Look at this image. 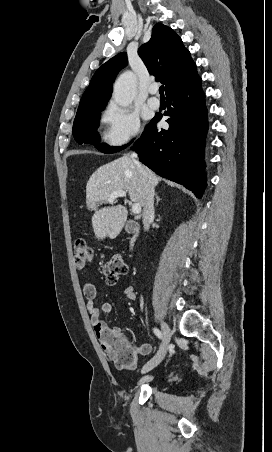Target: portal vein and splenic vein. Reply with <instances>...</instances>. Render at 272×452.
Here are the masks:
<instances>
[{
  "label": "portal vein and splenic vein",
  "mask_w": 272,
  "mask_h": 452,
  "mask_svg": "<svg viewBox=\"0 0 272 452\" xmlns=\"http://www.w3.org/2000/svg\"><path fill=\"white\" fill-rule=\"evenodd\" d=\"M118 197H126V192L123 190H117L114 191L110 194V196L108 197V201L109 202H113L116 198ZM132 212L134 214H139L141 213V206L138 203H134L132 204Z\"/></svg>",
  "instance_id": "obj_1"
}]
</instances>
